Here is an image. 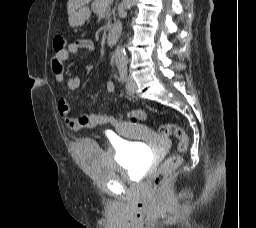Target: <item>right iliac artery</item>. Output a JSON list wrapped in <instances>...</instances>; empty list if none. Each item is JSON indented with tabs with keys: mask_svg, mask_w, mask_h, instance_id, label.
<instances>
[{
	"mask_svg": "<svg viewBox=\"0 0 256 228\" xmlns=\"http://www.w3.org/2000/svg\"><path fill=\"white\" fill-rule=\"evenodd\" d=\"M118 70L120 74V80L125 82L127 80V67L125 65H120Z\"/></svg>",
	"mask_w": 256,
	"mask_h": 228,
	"instance_id": "1",
	"label": "right iliac artery"
}]
</instances>
